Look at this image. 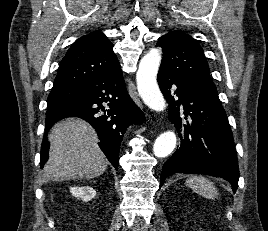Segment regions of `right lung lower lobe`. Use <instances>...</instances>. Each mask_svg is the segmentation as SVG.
Wrapping results in <instances>:
<instances>
[{
  "instance_id": "1",
  "label": "right lung lower lobe",
  "mask_w": 268,
  "mask_h": 231,
  "mask_svg": "<svg viewBox=\"0 0 268 231\" xmlns=\"http://www.w3.org/2000/svg\"><path fill=\"white\" fill-rule=\"evenodd\" d=\"M78 98L47 107L46 130L41 146V168L48 160L50 127L65 117H79L96 130L99 146L110 163L118 169L120 144L132 123L143 121V112L132 101L125 87L120 64L81 87Z\"/></svg>"
}]
</instances>
